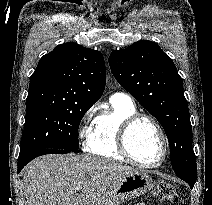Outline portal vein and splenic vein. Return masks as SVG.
<instances>
[{
	"instance_id": "1",
	"label": "portal vein and splenic vein",
	"mask_w": 212,
	"mask_h": 205,
	"mask_svg": "<svg viewBox=\"0 0 212 205\" xmlns=\"http://www.w3.org/2000/svg\"><path fill=\"white\" fill-rule=\"evenodd\" d=\"M82 188V185L81 184H79L78 185V187H77V189H81Z\"/></svg>"
}]
</instances>
